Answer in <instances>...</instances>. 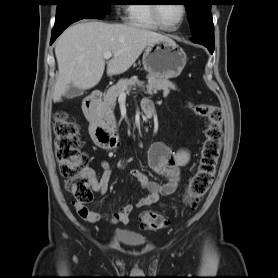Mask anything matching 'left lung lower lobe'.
Returning a JSON list of instances; mask_svg holds the SVG:
<instances>
[{
  "label": "left lung lower lobe",
  "mask_w": 278,
  "mask_h": 278,
  "mask_svg": "<svg viewBox=\"0 0 278 278\" xmlns=\"http://www.w3.org/2000/svg\"><path fill=\"white\" fill-rule=\"evenodd\" d=\"M192 41L195 42V43H199V42H196L194 39H192ZM199 44H202V45H204L205 47H207L208 50H209V52H210L211 54L213 53V51H214V46L208 45V44H204V43H199Z\"/></svg>",
  "instance_id": "left-lung-lower-lobe-1"
}]
</instances>
